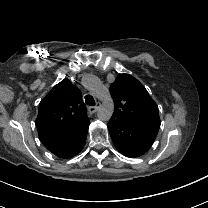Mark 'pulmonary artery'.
Wrapping results in <instances>:
<instances>
[{
	"label": "pulmonary artery",
	"instance_id": "e3ab8cb5",
	"mask_svg": "<svg viewBox=\"0 0 208 208\" xmlns=\"http://www.w3.org/2000/svg\"><path fill=\"white\" fill-rule=\"evenodd\" d=\"M89 83L94 86L99 85L96 80H90Z\"/></svg>",
	"mask_w": 208,
	"mask_h": 208
}]
</instances>
